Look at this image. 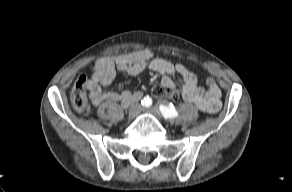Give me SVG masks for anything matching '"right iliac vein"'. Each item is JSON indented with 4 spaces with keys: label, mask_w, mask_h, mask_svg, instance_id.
<instances>
[{
    "label": "right iliac vein",
    "mask_w": 292,
    "mask_h": 192,
    "mask_svg": "<svg viewBox=\"0 0 292 192\" xmlns=\"http://www.w3.org/2000/svg\"><path fill=\"white\" fill-rule=\"evenodd\" d=\"M141 111V106L139 104H133L128 112V118L133 119L135 118Z\"/></svg>",
    "instance_id": "63e3f726"
}]
</instances>
